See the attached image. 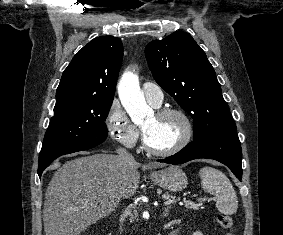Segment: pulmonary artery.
Returning <instances> with one entry per match:
<instances>
[{
  "label": "pulmonary artery",
  "instance_id": "1",
  "mask_svg": "<svg viewBox=\"0 0 283 235\" xmlns=\"http://www.w3.org/2000/svg\"><path fill=\"white\" fill-rule=\"evenodd\" d=\"M142 92L146 98V100L154 107H158L161 105L163 101V92L162 89L151 82H145L142 84Z\"/></svg>",
  "mask_w": 283,
  "mask_h": 235
}]
</instances>
